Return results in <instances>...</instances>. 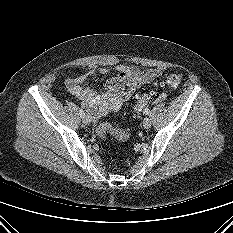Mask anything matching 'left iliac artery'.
Listing matches in <instances>:
<instances>
[{
  "instance_id": "1",
  "label": "left iliac artery",
  "mask_w": 233,
  "mask_h": 233,
  "mask_svg": "<svg viewBox=\"0 0 233 233\" xmlns=\"http://www.w3.org/2000/svg\"><path fill=\"white\" fill-rule=\"evenodd\" d=\"M149 112H150V110H149L148 108H146V109L144 110V114H146V115H148Z\"/></svg>"
}]
</instances>
